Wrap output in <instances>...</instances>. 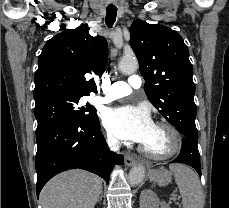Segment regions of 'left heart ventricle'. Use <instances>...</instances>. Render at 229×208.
<instances>
[{"label": "left heart ventricle", "instance_id": "b2bd125f", "mask_svg": "<svg viewBox=\"0 0 229 208\" xmlns=\"http://www.w3.org/2000/svg\"><path fill=\"white\" fill-rule=\"evenodd\" d=\"M164 127H157L154 125L148 138L142 143L148 150L156 154H166L172 151L175 147L168 146V135Z\"/></svg>", "mask_w": 229, "mask_h": 208}]
</instances>
